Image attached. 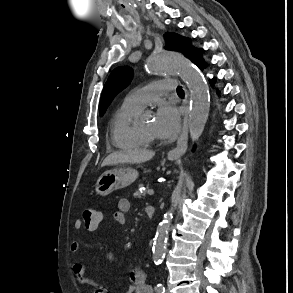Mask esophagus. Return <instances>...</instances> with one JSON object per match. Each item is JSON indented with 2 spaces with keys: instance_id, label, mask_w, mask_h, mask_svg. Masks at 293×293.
I'll use <instances>...</instances> for the list:
<instances>
[{
  "instance_id": "1",
  "label": "esophagus",
  "mask_w": 293,
  "mask_h": 293,
  "mask_svg": "<svg viewBox=\"0 0 293 293\" xmlns=\"http://www.w3.org/2000/svg\"><path fill=\"white\" fill-rule=\"evenodd\" d=\"M188 129V116H185L183 130L180 138L178 139L177 146L168 152L171 157L181 156L187 149L186 133Z\"/></svg>"
}]
</instances>
